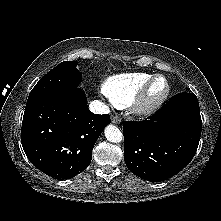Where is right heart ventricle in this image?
I'll return each instance as SVG.
<instances>
[{
	"mask_svg": "<svg viewBox=\"0 0 221 221\" xmlns=\"http://www.w3.org/2000/svg\"><path fill=\"white\" fill-rule=\"evenodd\" d=\"M153 74L127 72L109 76L102 84V92L118 108L133 102L138 92Z\"/></svg>",
	"mask_w": 221,
	"mask_h": 221,
	"instance_id": "right-heart-ventricle-1",
	"label": "right heart ventricle"
}]
</instances>
